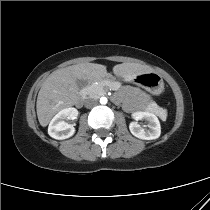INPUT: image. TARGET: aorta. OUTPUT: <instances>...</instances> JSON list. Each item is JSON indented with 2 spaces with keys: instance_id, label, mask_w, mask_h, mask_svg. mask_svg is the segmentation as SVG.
Returning a JSON list of instances; mask_svg holds the SVG:
<instances>
[{
  "instance_id": "1",
  "label": "aorta",
  "mask_w": 210,
  "mask_h": 210,
  "mask_svg": "<svg viewBox=\"0 0 210 210\" xmlns=\"http://www.w3.org/2000/svg\"><path fill=\"white\" fill-rule=\"evenodd\" d=\"M100 102H101V104H106L107 103V99L106 98H101Z\"/></svg>"
}]
</instances>
